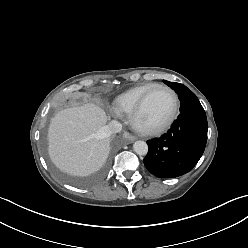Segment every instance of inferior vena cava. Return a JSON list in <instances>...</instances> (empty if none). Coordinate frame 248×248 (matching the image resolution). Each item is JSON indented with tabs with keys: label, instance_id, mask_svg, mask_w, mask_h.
<instances>
[{
	"label": "inferior vena cava",
	"instance_id": "obj_1",
	"mask_svg": "<svg viewBox=\"0 0 248 248\" xmlns=\"http://www.w3.org/2000/svg\"><path fill=\"white\" fill-rule=\"evenodd\" d=\"M122 130V124L118 121H111L107 126H105V132L108 136L119 133Z\"/></svg>",
	"mask_w": 248,
	"mask_h": 248
}]
</instances>
